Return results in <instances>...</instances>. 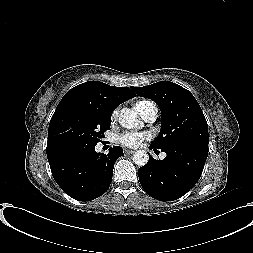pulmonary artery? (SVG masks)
Here are the masks:
<instances>
[{"instance_id":"pulmonary-artery-1","label":"pulmonary artery","mask_w":253,"mask_h":253,"mask_svg":"<svg viewBox=\"0 0 253 253\" xmlns=\"http://www.w3.org/2000/svg\"><path fill=\"white\" fill-rule=\"evenodd\" d=\"M138 111L142 118L147 122H154L158 117V106L151 101H145Z\"/></svg>"}]
</instances>
